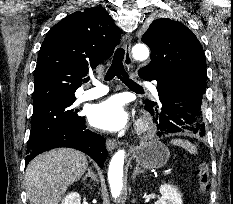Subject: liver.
<instances>
[{
    "mask_svg": "<svg viewBox=\"0 0 233 204\" xmlns=\"http://www.w3.org/2000/svg\"><path fill=\"white\" fill-rule=\"evenodd\" d=\"M87 167L86 156L70 148L38 155L25 173L30 204H59L67 188L82 177Z\"/></svg>",
    "mask_w": 233,
    "mask_h": 204,
    "instance_id": "6515ba94",
    "label": "liver"
}]
</instances>
